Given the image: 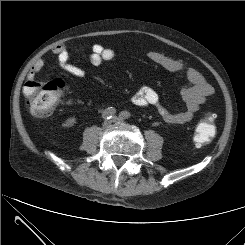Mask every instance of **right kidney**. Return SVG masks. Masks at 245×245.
Returning a JSON list of instances; mask_svg holds the SVG:
<instances>
[{"label":"right kidney","instance_id":"right-kidney-1","mask_svg":"<svg viewBox=\"0 0 245 245\" xmlns=\"http://www.w3.org/2000/svg\"><path fill=\"white\" fill-rule=\"evenodd\" d=\"M76 123V118L75 117H71L68 118L65 123L63 124L64 127H71Z\"/></svg>","mask_w":245,"mask_h":245}]
</instances>
